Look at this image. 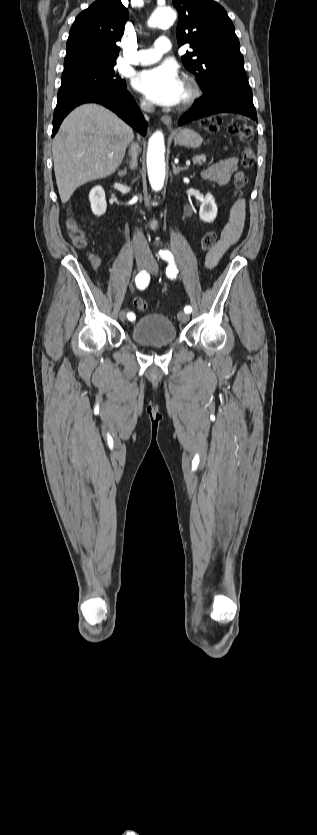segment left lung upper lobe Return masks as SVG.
I'll list each match as a JSON object with an SVG mask.
<instances>
[{"instance_id":"obj_1","label":"left lung upper lobe","mask_w":317,"mask_h":835,"mask_svg":"<svg viewBox=\"0 0 317 835\" xmlns=\"http://www.w3.org/2000/svg\"><path fill=\"white\" fill-rule=\"evenodd\" d=\"M179 13L178 45L193 49L182 61L204 93L215 92L233 77H246L235 28L226 11L212 0H173Z\"/></svg>"}]
</instances>
